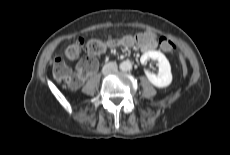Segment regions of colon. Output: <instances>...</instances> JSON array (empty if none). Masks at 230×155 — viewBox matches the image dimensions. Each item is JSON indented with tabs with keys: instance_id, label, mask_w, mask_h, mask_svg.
Here are the masks:
<instances>
[{
	"instance_id": "5ec220e1",
	"label": "colon",
	"mask_w": 230,
	"mask_h": 155,
	"mask_svg": "<svg viewBox=\"0 0 230 155\" xmlns=\"http://www.w3.org/2000/svg\"><path fill=\"white\" fill-rule=\"evenodd\" d=\"M146 41L147 39L143 35H130L123 39L125 45L141 44ZM159 45L166 53L172 56L177 54V48L169 38L165 36L160 37ZM106 47L107 44L98 39L90 40L85 45L79 40L67 46L64 54L69 60H76L79 58L83 48H85L87 55L79 65L81 74L85 75L93 72L97 68L96 57L102 54L106 50ZM52 73L54 78L62 81L69 88H75L80 84V77L72 75L71 69L61 57L54 58L52 63Z\"/></svg>"
}]
</instances>
